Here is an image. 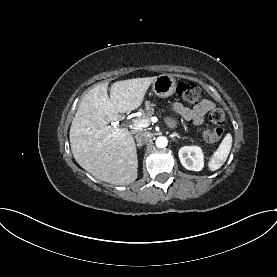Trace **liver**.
Masks as SVG:
<instances>
[{
  "instance_id": "1",
  "label": "liver",
  "mask_w": 277,
  "mask_h": 277,
  "mask_svg": "<svg viewBox=\"0 0 277 277\" xmlns=\"http://www.w3.org/2000/svg\"><path fill=\"white\" fill-rule=\"evenodd\" d=\"M156 76L117 81L91 89L82 99L70 127V145L76 162L94 177L114 185L137 178L138 159L133 136L110 122L119 113L137 109Z\"/></svg>"
}]
</instances>
